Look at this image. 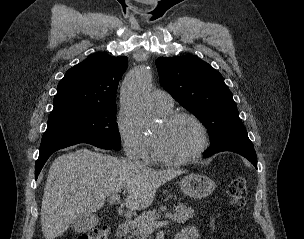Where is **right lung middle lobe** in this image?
Here are the masks:
<instances>
[{
    "label": "right lung middle lobe",
    "mask_w": 304,
    "mask_h": 239,
    "mask_svg": "<svg viewBox=\"0 0 304 239\" xmlns=\"http://www.w3.org/2000/svg\"><path fill=\"white\" fill-rule=\"evenodd\" d=\"M116 105L81 107L52 112L42 142L85 140L120 150Z\"/></svg>",
    "instance_id": "dd1d6c3e"
}]
</instances>
